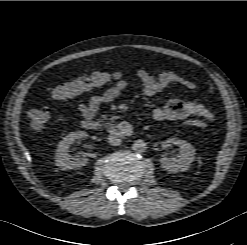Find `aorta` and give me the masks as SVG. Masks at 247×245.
I'll use <instances>...</instances> for the list:
<instances>
[{
	"label": "aorta",
	"instance_id": "obj_1",
	"mask_svg": "<svg viewBox=\"0 0 247 245\" xmlns=\"http://www.w3.org/2000/svg\"><path fill=\"white\" fill-rule=\"evenodd\" d=\"M146 148L147 145L142 139L135 140L132 144V150L136 153H143L145 152Z\"/></svg>",
	"mask_w": 247,
	"mask_h": 245
}]
</instances>
